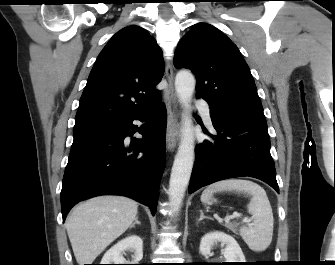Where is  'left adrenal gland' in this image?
<instances>
[{"instance_id": "1", "label": "left adrenal gland", "mask_w": 335, "mask_h": 265, "mask_svg": "<svg viewBox=\"0 0 335 265\" xmlns=\"http://www.w3.org/2000/svg\"><path fill=\"white\" fill-rule=\"evenodd\" d=\"M204 218H209V217L205 216V215H204V212H203L202 210H200V218H199L198 221H201V220H203Z\"/></svg>"}]
</instances>
